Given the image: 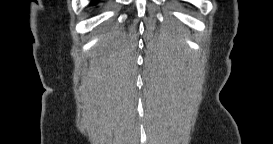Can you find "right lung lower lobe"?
<instances>
[{"mask_svg": "<svg viewBox=\"0 0 273 144\" xmlns=\"http://www.w3.org/2000/svg\"><path fill=\"white\" fill-rule=\"evenodd\" d=\"M95 4H97V0H95V1L92 2V5H95Z\"/></svg>", "mask_w": 273, "mask_h": 144, "instance_id": "obj_1", "label": "right lung lower lobe"}]
</instances>
